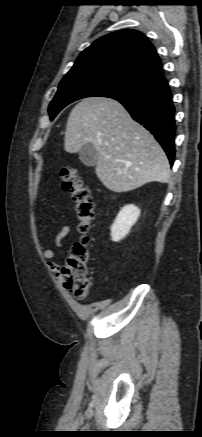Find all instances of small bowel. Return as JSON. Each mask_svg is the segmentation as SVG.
Segmentation results:
<instances>
[{"label":"small bowel","mask_w":202,"mask_h":437,"mask_svg":"<svg viewBox=\"0 0 202 437\" xmlns=\"http://www.w3.org/2000/svg\"><path fill=\"white\" fill-rule=\"evenodd\" d=\"M54 234L55 245L58 249L62 247L63 240L71 233V228L68 225H59L52 229ZM43 256L46 259L48 268L60 278V265L56 260V253L52 249L43 251Z\"/></svg>","instance_id":"1"}]
</instances>
